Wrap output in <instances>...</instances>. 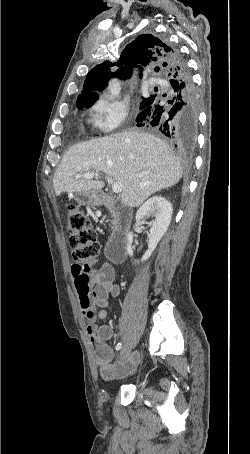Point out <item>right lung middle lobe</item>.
I'll return each mask as SVG.
<instances>
[{"label":"right lung middle lobe","mask_w":250,"mask_h":454,"mask_svg":"<svg viewBox=\"0 0 250 454\" xmlns=\"http://www.w3.org/2000/svg\"><path fill=\"white\" fill-rule=\"evenodd\" d=\"M149 99H150V97H149V98H144V99L142 100L140 106L143 105V104H145ZM93 103H94V102H78V103H77V107H78L79 109H82L83 107L89 108V107H91V106L93 105Z\"/></svg>","instance_id":"obj_1"}]
</instances>
